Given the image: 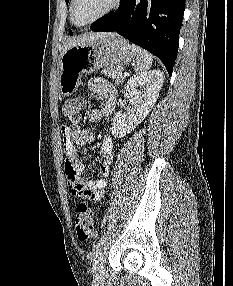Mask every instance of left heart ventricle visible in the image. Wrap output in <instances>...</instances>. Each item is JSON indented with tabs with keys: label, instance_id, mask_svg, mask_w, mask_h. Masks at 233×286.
<instances>
[{
	"label": "left heart ventricle",
	"instance_id": "b2bd125f",
	"mask_svg": "<svg viewBox=\"0 0 233 286\" xmlns=\"http://www.w3.org/2000/svg\"><path fill=\"white\" fill-rule=\"evenodd\" d=\"M113 0H76L74 17L78 23H86L104 12Z\"/></svg>",
	"mask_w": 233,
	"mask_h": 286
}]
</instances>
